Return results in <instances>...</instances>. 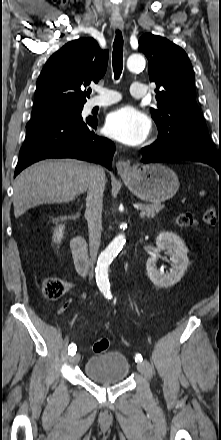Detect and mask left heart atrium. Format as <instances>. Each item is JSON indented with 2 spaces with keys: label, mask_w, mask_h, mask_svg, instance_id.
<instances>
[{
  "label": "left heart atrium",
  "mask_w": 221,
  "mask_h": 440,
  "mask_svg": "<svg viewBox=\"0 0 221 440\" xmlns=\"http://www.w3.org/2000/svg\"><path fill=\"white\" fill-rule=\"evenodd\" d=\"M108 136L127 145H138L147 137L150 122L147 116L131 106L109 114L105 123Z\"/></svg>",
  "instance_id": "left-heart-atrium-1"
}]
</instances>
